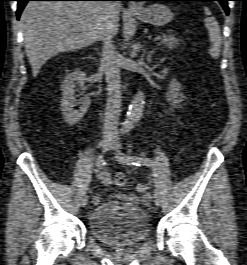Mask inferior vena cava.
I'll return each instance as SVG.
<instances>
[{"instance_id": "obj_1", "label": "inferior vena cava", "mask_w": 247, "mask_h": 265, "mask_svg": "<svg viewBox=\"0 0 247 265\" xmlns=\"http://www.w3.org/2000/svg\"><path fill=\"white\" fill-rule=\"evenodd\" d=\"M116 3L106 2V6L111 10ZM110 32H103V61L102 65L106 75L108 86V99L104 119V134L115 135L118 132V119L121 108L120 76L118 66V54L115 45L112 43Z\"/></svg>"}]
</instances>
